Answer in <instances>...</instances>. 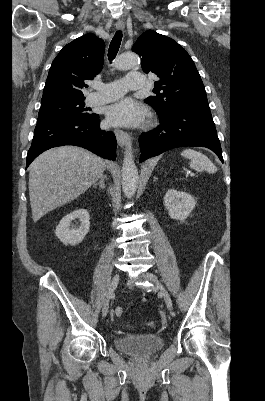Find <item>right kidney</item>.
Returning a JSON list of instances; mask_svg holds the SVG:
<instances>
[{"label": "right kidney", "mask_w": 265, "mask_h": 401, "mask_svg": "<svg viewBox=\"0 0 265 401\" xmlns=\"http://www.w3.org/2000/svg\"><path fill=\"white\" fill-rule=\"evenodd\" d=\"M75 219H79L81 225L79 229H70V223ZM89 229L90 215L88 211L86 209H77V211H73V213L61 219L56 229V237L64 245H78V243H82L84 237L89 233Z\"/></svg>", "instance_id": "right-kidney-1"}]
</instances>
